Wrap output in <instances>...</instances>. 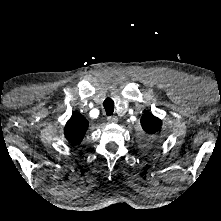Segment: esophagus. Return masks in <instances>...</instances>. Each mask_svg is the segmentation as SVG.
Returning a JSON list of instances; mask_svg holds the SVG:
<instances>
[{
  "label": "esophagus",
  "mask_w": 221,
  "mask_h": 221,
  "mask_svg": "<svg viewBox=\"0 0 221 221\" xmlns=\"http://www.w3.org/2000/svg\"><path fill=\"white\" fill-rule=\"evenodd\" d=\"M109 123H117L118 122V117L117 116H110L107 118Z\"/></svg>",
  "instance_id": "1"
}]
</instances>
